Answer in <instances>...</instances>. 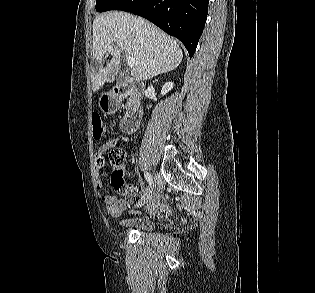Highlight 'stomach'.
<instances>
[{
	"label": "stomach",
	"mask_w": 315,
	"mask_h": 293,
	"mask_svg": "<svg viewBox=\"0 0 315 293\" xmlns=\"http://www.w3.org/2000/svg\"><path fill=\"white\" fill-rule=\"evenodd\" d=\"M122 98L119 92H102L101 99H99V106L103 112H111V110H118Z\"/></svg>",
	"instance_id": "1"
}]
</instances>
